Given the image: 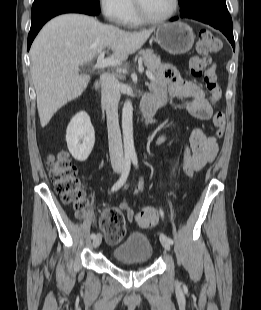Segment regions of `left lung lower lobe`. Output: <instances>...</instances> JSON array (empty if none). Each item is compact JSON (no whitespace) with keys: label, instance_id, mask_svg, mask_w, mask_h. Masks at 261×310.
Returning a JSON list of instances; mask_svg holds the SVG:
<instances>
[{"label":"left lung lower lobe","instance_id":"0a47b994","mask_svg":"<svg viewBox=\"0 0 261 310\" xmlns=\"http://www.w3.org/2000/svg\"><path fill=\"white\" fill-rule=\"evenodd\" d=\"M184 17L198 20L219 29L230 41L233 49H235L232 19L226 6V0H215L206 5L202 10ZM177 19L178 17H174L171 21Z\"/></svg>","mask_w":261,"mask_h":310}]
</instances>
